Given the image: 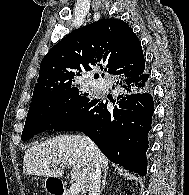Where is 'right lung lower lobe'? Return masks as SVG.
<instances>
[{"label": "right lung lower lobe", "mask_w": 189, "mask_h": 195, "mask_svg": "<svg viewBox=\"0 0 189 195\" xmlns=\"http://www.w3.org/2000/svg\"><path fill=\"white\" fill-rule=\"evenodd\" d=\"M144 67L115 75L120 95L110 99L113 107H107V100H90L54 130L84 132L112 162L144 176L147 134L154 112Z\"/></svg>", "instance_id": "98d812e1"}]
</instances>
